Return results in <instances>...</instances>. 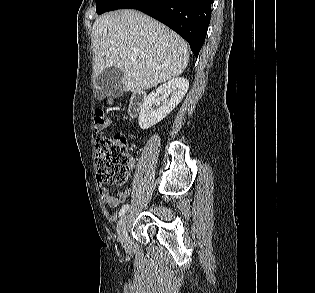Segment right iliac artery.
Returning <instances> with one entry per match:
<instances>
[{"instance_id": "82829eb1", "label": "right iliac artery", "mask_w": 315, "mask_h": 293, "mask_svg": "<svg viewBox=\"0 0 315 293\" xmlns=\"http://www.w3.org/2000/svg\"><path fill=\"white\" fill-rule=\"evenodd\" d=\"M128 208H129V205H128V204L122 206V208H121V210H120V212H119V217L123 216V215L126 213V211L128 210Z\"/></svg>"}]
</instances>
